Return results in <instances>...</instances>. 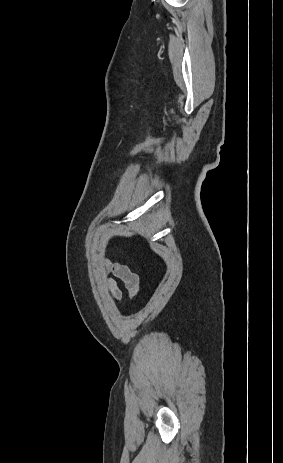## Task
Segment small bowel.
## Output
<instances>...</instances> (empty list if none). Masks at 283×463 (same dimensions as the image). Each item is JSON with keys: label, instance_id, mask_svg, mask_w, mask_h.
Returning a JSON list of instances; mask_svg holds the SVG:
<instances>
[{"label": "small bowel", "instance_id": "1", "mask_svg": "<svg viewBox=\"0 0 283 463\" xmlns=\"http://www.w3.org/2000/svg\"><path fill=\"white\" fill-rule=\"evenodd\" d=\"M102 273L106 276L105 286L110 293V301L118 302L121 300L122 291L118 285L117 279L124 282L130 295L136 290V283L133 274L124 266L106 261Z\"/></svg>", "mask_w": 283, "mask_h": 463}]
</instances>
